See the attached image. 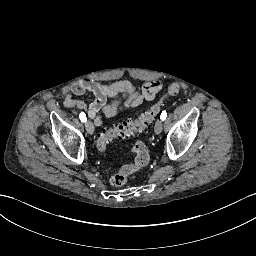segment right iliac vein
<instances>
[{
    "label": "right iliac vein",
    "mask_w": 256,
    "mask_h": 256,
    "mask_svg": "<svg viewBox=\"0 0 256 256\" xmlns=\"http://www.w3.org/2000/svg\"><path fill=\"white\" fill-rule=\"evenodd\" d=\"M85 128H86V131L88 134H93L94 132V125L93 123L88 120L86 123H85Z\"/></svg>",
    "instance_id": "63e3f726"
}]
</instances>
